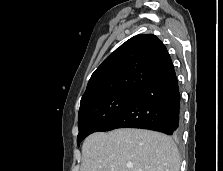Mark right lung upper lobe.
Segmentation results:
<instances>
[{
	"label": "right lung upper lobe",
	"instance_id": "right-lung-upper-lobe-1",
	"mask_svg": "<svg viewBox=\"0 0 223 171\" xmlns=\"http://www.w3.org/2000/svg\"><path fill=\"white\" fill-rule=\"evenodd\" d=\"M173 68L166 47L156 36H134L95 70L81 98L80 107L112 93H139Z\"/></svg>",
	"mask_w": 223,
	"mask_h": 171
}]
</instances>
